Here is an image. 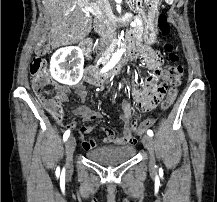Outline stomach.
Returning a JSON list of instances; mask_svg holds the SVG:
<instances>
[{"mask_svg": "<svg viewBox=\"0 0 217 202\" xmlns=\"http://www.w3.org/2000/svg\"><path fill=\"white\" fill-rule=\"evenodd\" d=\"M136 10L143 20L142 40L147 46H153L157 40V20L161 0H135Z\"/></svg>", "mask_w": 217, "mask_h": 202, "instance_id": "1", "label": "stomach"}]
</instances>
